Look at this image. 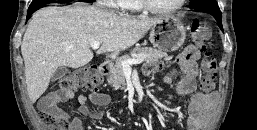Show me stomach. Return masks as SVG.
I'll return each instance as SVG.
<instances>
[{
    "instance_id": "stomach-1",
    "label": "stomach",
    "mask_w": 257,
    "mask_h": 130,
    "mask_svg": "<svg viewBox=\"0 0 257 130\" xmlns=\"http://www.w3.org/2000/svg\"><path fill=\"white\" fill-rule=\"evenodd\" d=\"M186 29L181 20L174 16L159 18L151 27L149 39L154 47L165 51L174 52L184 43Z\"/></svg>"
}]
</instances>
